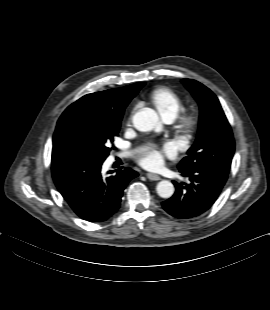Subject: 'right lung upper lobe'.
Here are the masks:
<instances>
[{
  "mask_svg": "<svg viewBox=\"0 0 270 310\" xmlns=\"http://www.w3.org/2000/svg\"><path fill=\"white\" fill-rule=\"evenodd\" d=\"M145 83H135L122 88L109 89L105 91H100L92 94H88L77 100L75 103L70 105L65 111L70 107L78 104H92L98 108L104 115L114 122H121L124 109L131 101V99L138 93L139 89L144 86ZM63 115V114H62ZM60 117L56 131L53 137V151H52V161L60 159H68L60 148Z\"/></svg>",
  "mask_w": 270,
  "mask_h": 310,
  "instance_id": "1",
  "label": "right lung upper lobe"
}]
</instances>
